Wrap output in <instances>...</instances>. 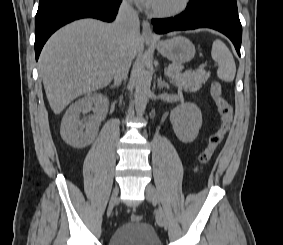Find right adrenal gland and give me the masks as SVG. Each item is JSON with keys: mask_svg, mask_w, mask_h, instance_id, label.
Here are the masks:
<instances>
[{"mask_svg": "<svg viewBox=\"0 0 283 245\" xmlns=\"http://www.w3.org/2000/svg\"><path fill=\"white\" fill-rule=\"evenodd\" d=\"M110 88H111V89H113V88H114V86H110Z\"/></svg>", "mask_w": 283, "mask_h": 245, "instance_id": "obj_1", "label": "right adrenal gland"}]
</instances>
